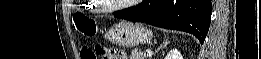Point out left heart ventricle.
Returning a JSON list of instances; mask_svg holds the SVG:
<instances>
[{"instance_id":"obj_1","label":"left heart ventricle","mask_w":261,"mask_h":59,"mask_svg":"<svg viewBox=\"0 0 261 59\" xmlns=\"http://www.w3.org/2000/svg\"><path fill=\"white\" fill-rule=\"evenodd\" d=\"M128 1L125 0H105V1H100V4L102 6H116V5H120L122 3H125Z\"/></svg>"}]
</instances>
